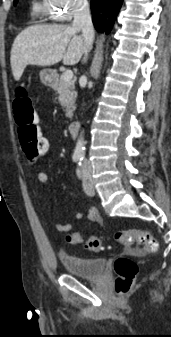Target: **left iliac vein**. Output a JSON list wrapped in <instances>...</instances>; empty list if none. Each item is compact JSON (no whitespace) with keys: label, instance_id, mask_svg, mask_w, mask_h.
I'll use <instances>...</instances> for the list:
<instances>
[{"label":"left iliac vein","instance_id":"left-iliac-vein-1","mask_svg":"<svg viewBox=\"0 0 171 337\" xmlns=\"http://www.w3.org/2000/svg\"><path fill=\"white\" fill-rule=\"evenodd\" d=\"M83 189L88 196H93L95 194L94 184L88 169L83 175Z\"/></svg>","mask_w":171,"mask_h":337}]
</instances>
